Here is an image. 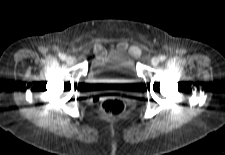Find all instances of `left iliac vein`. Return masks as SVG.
<instances>
[{"instance_id":"left-iliac-vein-1","label":"left iliac vein","mask_w":225,"mask_h":155,"mask_svg":"<svg viewBox=\"0 0 225 155\" xmlns=\"http://www.w3.org/2000/svg\"><path fill=\"white\" fill-rule=\"evenodd\" d=\"M159 61L160 60H159L158 57H153L152 60H151V62H152L153 65H158L159 64Z\"/></svg>"}]
</instances>
